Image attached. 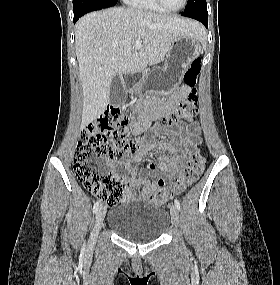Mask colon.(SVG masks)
Wrapping results in <instances>:
<instances>
[{"label": "colon", "instance_id": "colon-1", "mask_svg": "<svg viewBox=\"0 0 280 285\" xmlns=\"http://www.w3.org/2000/svg\"><path fill=\"white\" fill-rule=\"evenodd\" d=\"M201 62L195 59L184 74V84L190 88L185 99L168 115L159 120L163 126L176 125L191 119L198 111L197 81ZM139 139L128 135V120L118 108H109L84 130L73 155L77 179L94 196L114 206L122 197V179L109 171V163L117 155L134 152ZM205 164L203 153L197 149L189 157L182 173L168 186L149 196L156 204L166 203L172 195L194 184Z\"/></svg>", "mask_w": 280, "mask_h": 285}]
</instances>
